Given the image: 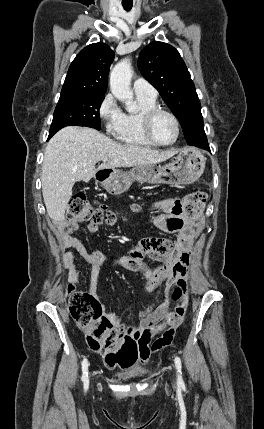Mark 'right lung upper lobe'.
I'll use <instances>...</instances> for the list:
<instances>
[{
  "instance_id": "1",
  "label": "right lung upper lobe",
  "mask_w": 264,
  "mask_h": 429,
  "mask_svg": "<svg viewBox=\"0 0 264 429\" xmlns=\"http://www.w3.org/2000/svg\"><path fill=\"white\" fill-rule=\"evenodd\" d=\"M114 52L104 43H94L79 52L70 65L61 93L105 95Z\"/></svg>"
}]
</instances>
